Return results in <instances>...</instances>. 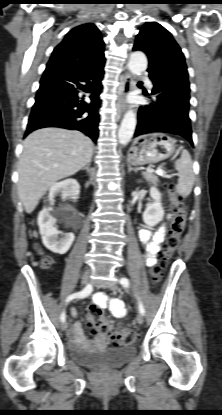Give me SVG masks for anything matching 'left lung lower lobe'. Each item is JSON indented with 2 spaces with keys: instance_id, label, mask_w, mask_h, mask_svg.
<instances>
[{
  "instance_id": "left-lung-lower-lobe-1",
  "label": "left lung lower lobe",
  "mask_w": 222,
  "mask_h": 415,
  "mask_svg": "<svg viewBox=\"0 0 222 415\" xmlns=\"http://www.w3.org/2000/svg\"><path fill=\"white\" fill-rule=\"evenodd\" d=\"M133 51H136L133 49ZM154 87L155 100L140 107L134 137L153 132L177 134L192 145L189 118L190 88L187 68L161 64L147 70ZM146 95V94H145Z\"/></svg>"
}]
</instances>
